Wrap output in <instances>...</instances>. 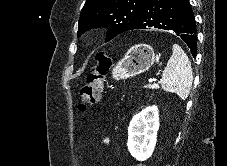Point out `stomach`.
<instances>
[{
	"label": "stomach",
	"mask_w": 227,
	"mask_h": 166,
	"mask_svg": "<svg viewBox=\"0 0 227 166\" xmlns=\"http://www.w3.org/2000/svg\"><path fill=\"white\" fill-rule=\"evenodd\" d=\"M154 49L147 44H137L112 69L115 80L127 79L147 71L155 62Z\"/></svg>",
	"instance_id": "stomach-1"
}]
</instances>
